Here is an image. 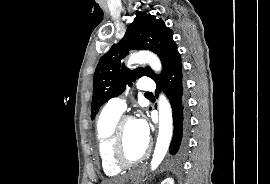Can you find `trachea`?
Here are the masks:
<instances>
[{
  "mask_svg": "<svg viewBox=\"0 0 270 184\" xmlns=\"http://www.w3.org/2000/svg\"><path fill=\"white\" fill-rule=\"evenodd\" d=\"M145 95H146V96H149V95H152V94H151V93H146Z\"/></svg>",
  "mask_w": 270,
  "mask_h": 184,
  "instance_id": "1",
  "label": "trachea"
}]
</instances>
